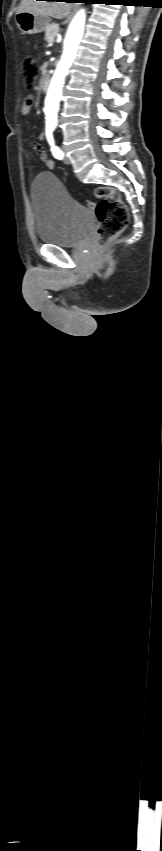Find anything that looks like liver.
Returning <instances> with one entry per match:
<instances>
[{
	"instance_id": "liver-1",
	"label": "liver",
	"mask_w": 162,
	"mask_h": 851,
	"mask_svg": "<svg viewBox=\"0 0 162 851\" xmlns=\"http://www.w3.org/2000/svg\"><path fill=\"white\" fill-rule=\"evenodd\" d=\"M73 8L74 5L67 2L22 0L18 12H31L46 17L63 19L70 15Z\"/></svg>"
}]
</instances>
